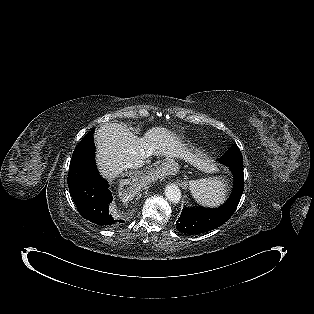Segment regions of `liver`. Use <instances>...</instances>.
<instances>
[{"label": "liver", "instance_id": "1", "mask_svg": "<svg viewBox=\"0 0 314 314\" xmlns=\"http://www.w3.org/2000/svg\"><path fill=\"white\" fill-rule=\"evenodd\" d=\"M95 140L97 165L110 181L122 174L128 163L149 162L153 155L167 160L189 158V152L175 134L162 127L152 128L139 138L122 124L106 123L96 131Z\"/></svg>", "mask_w": 314, "mask_h": 314}]
</instances>
